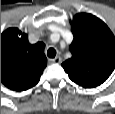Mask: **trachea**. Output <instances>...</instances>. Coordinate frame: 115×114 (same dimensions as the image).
Returning <instances> with one entry per match:
<instances>
[{
	"mask_svg": "<svg viewBox=\"0 0 115 114\" xmlns=\"http://www.w3.org/2000/svg\"><path fill=\"white\" fill-rule=\"evenodd\" d=\"M47 56L49 58H54L56 56V50L54 48H49L47 51Z\"/></svg>",
	"mask_w": 115,
	"mask_h": 114,
	"instance_id": "trachea-1",
	"label": "trachea"
}]
</instances>
